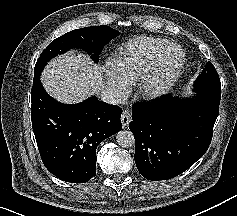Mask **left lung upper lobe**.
I'll return each instance as SVG.
<instances>
[{
	"label": "left lung upper lobe",
	"instance_id": "obj_1",
	"mask_svg": "<svg viewBox=\"0 0 237 216\" xmlns=\"http://www.w3.org/2000/svg\"><path fill=\"white\" fill-rule=\"evenodd\" d=\"M194 91L198 94L220 98V79L211 62L206 63L202 73L197 77Z\"/></svg>",
	"mask_w": 237,
	"mask_h": 216
}]
</instances>
